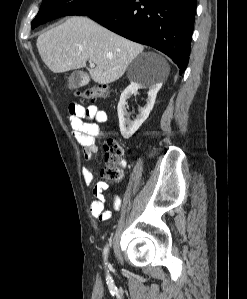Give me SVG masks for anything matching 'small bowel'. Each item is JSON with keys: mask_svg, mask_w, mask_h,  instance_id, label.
<instances>
[{"mask_svg": "<svg viewBox=\"0 0 247 299\" xmlns=\"http://www.w3.org/2000/svg\"><path fill=\"white\" fill-rule=\"evenodd\" d=\"M69 124L76 141L83 147V156L87 161H91L98 151L97 139L101 136L100 125L108 121L106 111L98 108L96 105L87 107L71 103L69 105ZM83 179L86 185L92 184L94 174L88 167L82 169ZM109 185L104 181L97 182L93 187L94 200L91 203L90 211L93 217L99 221H107L111 218L112 213L105 209L104 192ZM121 199L114 196V209L119 210Z\"/></svg>", "mask_w": 247, "mask_h": 299, "instance_id": "c3829d8e", "label": "small bowel"}]
</instances>
